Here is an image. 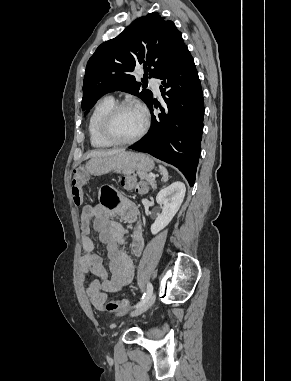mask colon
<instances>
[{"instance_id": "obj_1", "label": "colon", "mask_w": 291, "mask_h": 381, "mask_svg": "<svg viewBox=\"0 0 291 381\" xmlns=\"http://www.w3.org/2000/svg\"><path fill=\"white\" fill-rule=\"evenodd\" d=\"M83 184L84 177L83 173L80 169H75L71 176V193L73 201L76 205H80L83 197ZM125 187L130 190H135L138 193H145L147 191V187L143 183L136 182L134 180L128 179L125 181ZM104 190V189H103ZM103 202L106 205H113L117 202V198L115 199H103ZM130 303L126 299H114L110 300L105 308L108 312L111 313H120L128 310Z\"/></svg>"}]
</instances>
